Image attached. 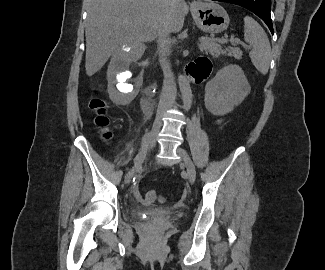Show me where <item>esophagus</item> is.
<instances>
[{"label": "esophagus", "instance_id": "1", "mask_svg": "<svg viewBox=\"0 0 325 270\" xmlns=\"http://www.w3.org/2000/svg\"><path fill=\"white\" fill-rule=\"evenodd\" d=\"M195 5H196V2L195 1H193V2L190 3V6L191 7H194Z\"/></svg>", "mask_w": 325, "mask_h": 270}]
</instances>
